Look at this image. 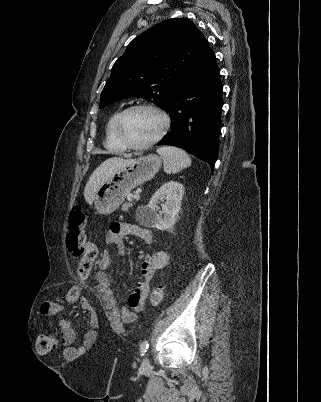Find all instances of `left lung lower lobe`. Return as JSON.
Wrapping results in <instances>:
<instances>
[{"label":"left lung lower lobe","instance_id":"obj_1","mask_svg":"<svg viewBox=\"0 0 321 402\" xmlns=\"http://www.w3.org/2000/svg\"><path fill=\"white\" fill-rule=\"evenodd\" d=\"M222 83L213 50L207 46L169 97L171 130L157 145L180 147L214 168L221 126Z\"/></svg>","mask_w":321,"mask_h":402}]
</instances>
